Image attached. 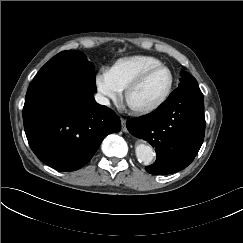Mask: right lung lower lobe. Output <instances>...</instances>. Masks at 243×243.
<instances>
[{
  "mask_svg": "<svg viewBox=\"0 0 243 243\" xmlns=\"http://www.w3.org/2000/svg\"><path fill=\"white\" fill-rule=\"evenodd\" d=\"M95 81L35 76L23 108L26 137L36 156L60 171H75L103 139L121 130L113 110L96 103Z\"/></svg>",
  "mask_w": 243,
  "mask_h": 243,
  "instance_id": "right-lung-lower-lobe-1",
  "label": "right lung lower lobe"
}]
</instances>
